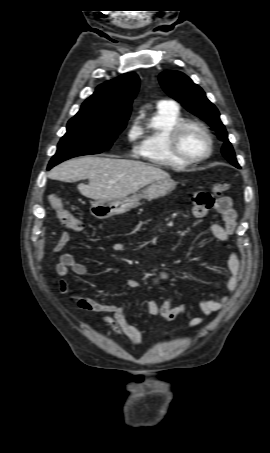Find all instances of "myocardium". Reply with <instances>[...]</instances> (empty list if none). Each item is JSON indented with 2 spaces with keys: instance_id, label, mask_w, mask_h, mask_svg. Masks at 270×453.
<instances>
[{
  "instance_id": "f54148a6",
  "label": "myocardium",
  "mask_w": 270,
  "mask_h": 453,
  "mask_svg": "<svg viewBox=\"0 0 270 453\" xmlns=\"http://www.w3.org/2000/svg\"><path fill=\"white\" fill-rule=\"evenodd\" d=\"M189 127H195L199 129L207 139L208 143L207 151L202 156L190 157L184 154L180 148L181 135ZM169 147L172 154L180 161L185 162L187 164H197L208 159L211 156L213 152V138L210 131L203 123L196 120H183L179 122L170 132Z\"/></svg>"
}]
</instances>
